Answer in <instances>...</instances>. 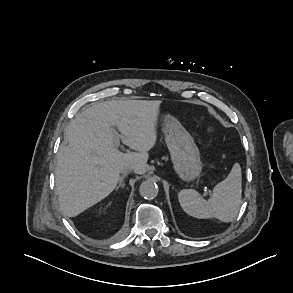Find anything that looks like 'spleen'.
I'll list each match as a JSON object with an SVG mask.
<instances>
[{
	"label": "spleen",
	"mask_w": 293,
	"mask_h": 293,
	"mask_svg": "<svg viewBox=\"0 0 293 293\" xmlns=\"http://www.w3.org/2000/svg\"><path fill=\"white\" fill-rule=\"evenodd\" d=\"M241 167L235 163L229 175L214 188L209 200H204L193 189H183L178 194L182 209L199 219L216 218L222 222L233 221L239 212L242 200Z\"/></svg>",
	"instance_id": "spleen-1"
}]
</instances>
